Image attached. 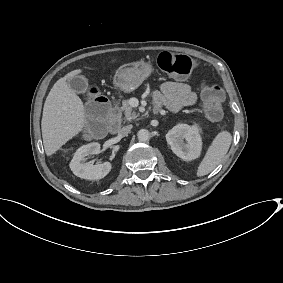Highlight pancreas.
I'll return each instance as SVG.
<instances>
[{"label": "pancreas", "instance_id": "1", "mask_svg": "<svg viewBox=\"0 0 283 283\" xmlns=\"http://www.w3.org/2000/svg\"><path fill=\"white\" fill-rule=\"evenodd\" d=\"M121 112L124 114V119L131 121L132 119L137 118V114L132 110V106L129 103V100H123L122 106L120 108Z\"/></svg>", "mask_w": 283, "mask_h": 283}]
</instances>
